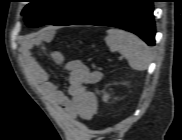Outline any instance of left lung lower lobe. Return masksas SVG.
<instances>
[{
	"label": "left lung lower lobe",
	"mask_w": 182,
	"mask_h": 140,
	"mask_svg": "<svg viewBox=\"0 0 182 140\" xmlns=\"http://www.w3.org/2000/svg\"><path fill=\"white\" fill-rule=\"evenodd\" d=\"M154 0H102L90 12L70 25H98L122 28L155 44Z\"/></svg>",
	"instance_id": "obj_1"
}]
</instances>
